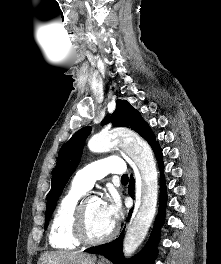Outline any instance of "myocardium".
I'll return each mask as SVG.
<instances>
[{"label": "myocardium", "instance_id": "myocardium-1", "mask_svg": "<svg viewBox=\"0 0 221 264\" xmlns=\"http://www.w3.org/2000/svg\"><path fill=\"white\" fill-rule=\"evenodd\" d=\"M99 199L94 195H83L77 203L72 218V232L75 239L84 245H99L110 241L117 232V226L114 223L110 232L102 238H92L89 236L86 227V206L89 200ZM100 200V199H99Z\"/></svg>", "mask_w": 221, "mask_h": 264}]
</instances>
